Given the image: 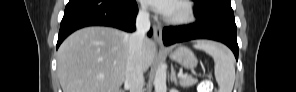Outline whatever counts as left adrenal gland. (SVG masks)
<instances>
[{"label": "left adrenal gland", "instance_id": "a2214340", "mask_svg": "<svg viewBox=\"0 0 296 92\" xmlns=\"http://www.w3.org/2000/svg\"><path fill=\"white\" fill-rule=\"evenodd\" d=\"M171 82L174 83V85H178V79L176 76V72L174 70V67L171 68V76H170Z\"/></svg>", "mask_w": 296, "mask_h": 92}]
</instances>
